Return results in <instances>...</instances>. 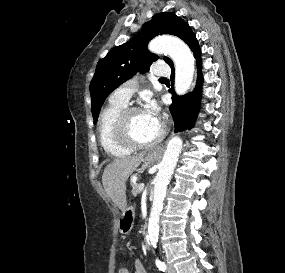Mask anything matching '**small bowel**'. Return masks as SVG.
Listing matches in <instances>:
<instances>
[{"label": "small bowel", "instance_id": "small-bowel-1", "mask_svg": "<svg viewBox=\"0 0 285 273\" xmlns=\"http://www.w3.org/2000/svg\"><path fill=\"white\" fill-rule=\"evenodd\" d=\"M124 270V273H146L143 264L139 260L134 261L132 271H129L128 269Z\"/></svg>", "mask_w": 285, "mask_h": 273}]
</instances>
